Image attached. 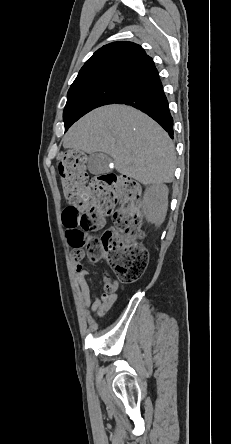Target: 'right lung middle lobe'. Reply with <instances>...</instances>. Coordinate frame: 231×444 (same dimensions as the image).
Masks as SVG:
<instances>
[{
	"label": "right lung middle lobe",
	"mask_w": 231,
	"mask_h": 444,
	"mask_svg": "<svg viewBox=\"0 0 231 444\" xmlns=\"http://www.w3.org/2000/svg\"><path fill=\"white\" fill-rule=\"evenodd\" d=\"M130 90L127 86L115 83L69 90L67 93V103L63 112L65 131L89 111L106 104L114 103Z\"/></svg>",
	"instance_id": "right-lung-middle-lobe-1"
}]
</instances>
